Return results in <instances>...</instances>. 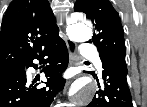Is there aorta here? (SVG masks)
Returning <instances> with one entry per match:
<instances>
[{"label":"aorta","mask_w":147,"mask_h":107,"mask_svg":"<svg viewBox=\"0 0 147 107\" xmlns=\"http://www.w3.org/2000/svg\"><path fill=\"white\" fill-rule=\"evenodd\" d=\"M66 32L69 38L76 42H85L92 37L90 27L76 20L68 25ZM96 90L97 85L95 82L87 78L77 80L73 83L70 90L73 103L78 106L86 105L92 100Z\"/></svg>","instance_id":"aorta-1"}]
</instances>
